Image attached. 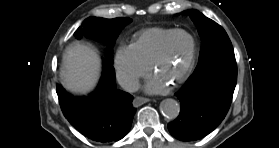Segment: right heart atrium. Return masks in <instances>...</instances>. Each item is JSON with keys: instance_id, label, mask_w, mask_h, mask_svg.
I'll return each instance as SVG.
<instances>
[{"instance_id": "obj_1", "label": "right heart atrium", "mask_w": 279, "mask_h": 148, "mask_svg": "<svg viewBox=\"0 0 279 148\" xmlns=\"http://www.w3.org/2000/svg\"><path fill=\"white\" fill-rule=\"evenodd\" d=\"M115 69L119 82L129 90L135 89L139 80L150 72V66L138 57L132 46L118 49L115 55Z\"/></svg>"}]
</instances>
